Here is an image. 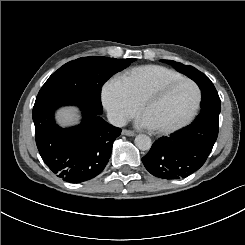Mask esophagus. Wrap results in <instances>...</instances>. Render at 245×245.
<instances>
[{
    "label": "esophagus",
    "mask_w": 245,
    "mask_h": 245,
    "mask_svg": "<svg viewBox=\"0 0 245 245\" xmlns=\"http://www.w3.org/2000/svg\"><path fill=\"white\" fill-rule=\"evenodd\" d=\"M122 134L126 135V136H135V133L133 131L127 130V129H123L122 130Z\"/></svg>",
    "instance_id": "34e87169"
}]
</instances>
